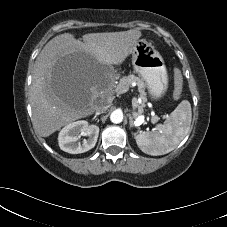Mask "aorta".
Masks as SVG:
<instances>
[{"instance_id":"aorta-1","label":"aorta","mask_w":227,"mask_h":227,"mask_svg":"<svg viewBox=\"0 0 227 227\" xmlns=\"http://www.w3.org/2000/svg\"><path fill=\"white\" fill-rule=\"evenodd\" d=\"M110 120L112 123L118 124L123 121V113L121 110H115L110 115Z\"/></svg>"}]
</instances>
